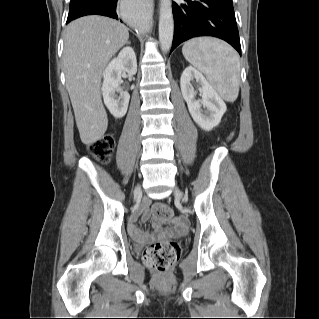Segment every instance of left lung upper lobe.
Instances as JSON below:
<instances>
[{
  "label": "left lung upper lobe",
  "mask_w": 319,
  "mask_h": 319,
  "mask_svg": "<svg viewBox=\"0 0 319 319\" xmlns=\"http://www.w3.org/2000/svg\"><path fill=\"white\" fill-rule=\"evenodd\" d=\"M222 2H225V3H229V4H233L232 0H220Z\"/></svg>",
  "instance_id": "1"
}]
</instances>
